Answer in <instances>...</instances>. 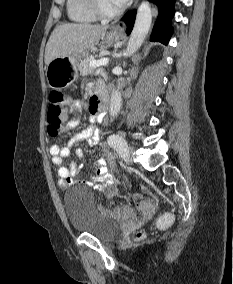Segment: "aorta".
Listing matches in <instances>:
<instances>
[{
  "label": "aorta",
  "instance_id": "obj_1",
  "mask_svg": "<svg viewBox=\"0 0 233 284\" xmlns=\"http://www.w3.org/2000/svg\"><path fill=\"white\" fill-rule=\"evenodd\" d=\"M151 23L152 12L150 3L147 0H143L138 8L135 24L128 41L125 52L127 56H131L140 48L150 30ZM121 107V93L119 90H113L110 99V116L113 118L116 117L119 114Z\"/></svg>",
  "mask_w": 233,
  "mask_h": 284
}]
</instances>
